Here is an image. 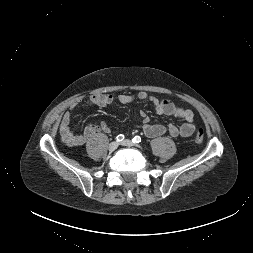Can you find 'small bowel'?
<instances>
[{
	"mask_svg": "<svg viewBox=\"0 0 253 253\" xmlns=\"http://www.w3.org/2000/svg\"><path fill=\"white\" fill-rule=\"evenodd\" d=\"M135 100H149L158 114L173 116L182 122L180 126L174 124H151L146 113L141 111V122L137 124V127L141 129L146 136L154 138L168 134L171 137H189L193 134L195 124L194 115L191 110L182 106H177L170 100L149 96L143 91L139 92L136 96L128 94H121L118 96V101L122 104H129ZM112 102L113 96L106 93L93 94L86 100L87 105L97 107H107ZM80 104V100L73 101L71 104V110H76ZM71 118V112L65 113L59 127L62 141L69 147L82 146L86 143L89 137L99 131H104L106 133L110 132L109 126L105 122H101L100 124L89 123L84 127L82 133H74L71 129Z\"/></svg>",
	"mask_w": 253,
	"mask_h": 253,
	"instance_id": "c3829d8e",
	"label": "small bowel"
}]
</instances>
